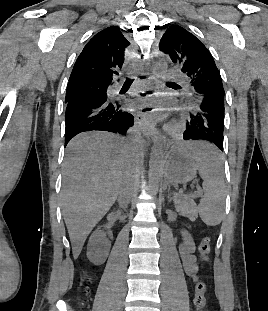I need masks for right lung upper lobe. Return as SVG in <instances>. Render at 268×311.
I'll return each instance as SVG.
<instances>
[{"label":"right lung upper lobe","instance_id":"obj_1","mask_svg":"<svg viewBox=\"0 0 268 311\" xmlns=\"http://www.w3.org/2000/svg\"><path fill=\"white\" fill-rule=\"evenodd\" d=\"M129 41L119 27L110 26L97 33L84 47L74 64L67 88L79 84L108 87L116 70L124 63Z\"/></svg>","mask_w":268,"mask_h":311}]
</instances>
